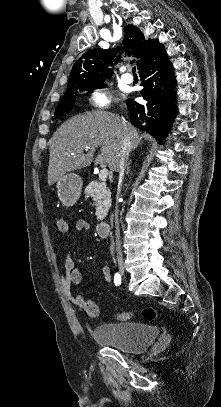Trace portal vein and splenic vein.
<instances>
[{"mask_svg":"<svg viewBox=\"0 0 221 407\" xmlns=\"http://www.w3.org/2000/svg\"><path fill=\"white\" fill-rule=\"evenodd\" d=\"M88 149H89V148H86V150H88ZM107 177H108V169L105 168V167H103V168L100 170V173H99V180H100L101 182H105L106 179H107Z\"/></svg>","mask_w":221,"mask_h":407,"instance_id":"18ae733b","label":"portal vein and splenic vein"}]
</instances>
